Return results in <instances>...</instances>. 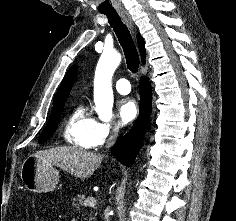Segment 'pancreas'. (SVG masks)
<instances>
[{"mask_svg": "<svg viewBox=\"0 0 236 221\" xmlns=\"http://www.w3.org/2000/svg\"><path fill=\"white\" fill-rule=\"evenodd\" d=\"M84 199H85L84 194L83 195L77 194V196L73 198L72 207H75L77 210H79L80 207L84 205ZM89 220L90 221L95 220V216L93 215V212L90 213Z\"/></svg>", "mask_w": 236, "mask_h": 221, "instance_id": "pancreas-1", "label": "pancreas"}]
</instances>
